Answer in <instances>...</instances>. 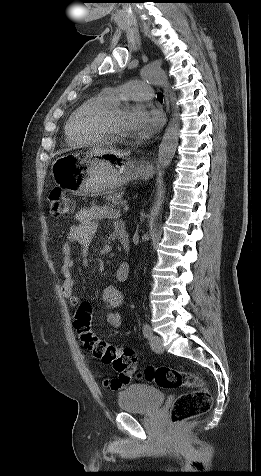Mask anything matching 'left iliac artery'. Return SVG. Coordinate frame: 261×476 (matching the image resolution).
I'll return each mask as SVG.
<instances>
[{"label": "left iliac artery", "instance_id": "44dca946", "mask_svg": "<svg viewBox=\"0 0 261 476\" xmlns=\"http://www.w3.org/2000/svg\"><path fill=\"white\" fill-rule=\"evenodd\" d=\"M143 335L146 338H150V336L152 335L151 327L147 323L143 324Z\"/></svg>", "mask_w": 261, "mask_h": 476}]
</instances>
